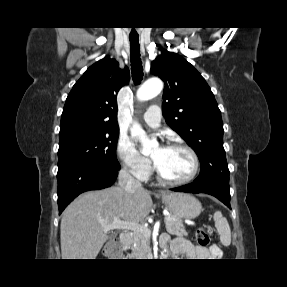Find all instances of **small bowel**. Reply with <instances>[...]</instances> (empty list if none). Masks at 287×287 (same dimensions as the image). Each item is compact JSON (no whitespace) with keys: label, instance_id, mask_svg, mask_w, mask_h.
I'll use <instances>...</instances> for the list:
<instances>
[{"label":"small bowel","instance_id":"small-bowel-1","mask_svg":"<svg viewBox=\"0 0 287 287\" xmlns=\"http://www.w3.org/2000/svg\"><path fill=\"white\" fill-rule=\"evenodd\" d=\"M160 243L163 247H168L170 254L174 257H185L187 259H208L220 254V249L216 245L210 248L193 245L182 237L171 240L169 236L162 235Z\"/></svg>","mask_w":287,"mask_h":287}]
</instances>
